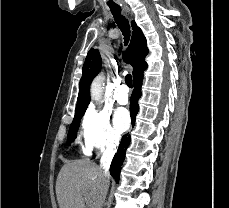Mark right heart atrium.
I'll return each instance as SVG.
<instances>
[{"instance_id": "d8ad5b80", "label": "right heart atrium", "mask_w": 229, "mask_h": 208, "mask_svg": "<svg viewBox=\"0 0 229 208\" xmlns=\"http://www.w3.org/2000/svg\"><path fill=\"white\" fill-rule=\"evenodd\" d=\"M80 134L86 153L114 148L120 142L119 134L111 125L109 113L95 107L86 110L82 119Z\"/></svg>"}]
</instances>
